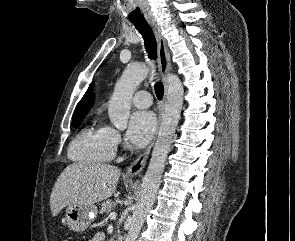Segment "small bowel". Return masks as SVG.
Segmentation results:
<instances>
[{"instance_id": "c3829d8e", "label": "small bowel", "mask_w": 295, "mask_h": 241, "mask_svg": "<svg viewBox=\"0 0 295 241\" xmlns=\"http://www.w3.org/2000/svg\"><path fill=\"white\" fill-rule=\"evenodd\" d=\"M104 240V234L102 232H97L93 235V237L90 239V241H103Z\"/></svg>"}]
</instances>
